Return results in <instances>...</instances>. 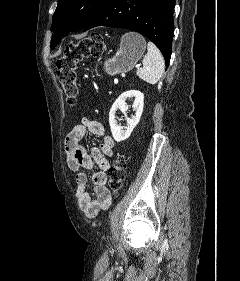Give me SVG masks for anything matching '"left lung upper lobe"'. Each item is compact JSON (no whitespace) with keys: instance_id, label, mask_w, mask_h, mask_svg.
Segmentation results:
<instances>
[{"instance_id":"left-lung-upper-lobe-1","label":"left lung upper lobe","mask_w":240,"mask_h":281,"mask_svg":"<svg viewBox=\"0 0 240 281\" xmlns=\"http://www.w3.org/2000/svg\"><path fill=\"white\" fill-rule=\"evenodd\" d=\"M106 0H58L53 16L51 49L69 32L82 30Z\"/></svg>"}]
</instances>
